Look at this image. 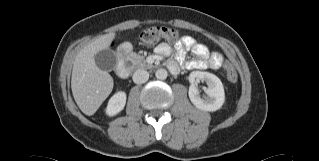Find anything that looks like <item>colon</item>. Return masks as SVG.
<instances>
[{"mask_svg": "<svg viewBox=\"0 0 319 161\" xmlns=\"http://www.w3.org/2000/svg\"><path fill=\"white\" fill-rule=\"evenodd\" d=\"M141 39L147 44H156L160 41H169L172 43H179L180 33L176 29L163 27V26H152L145 29L141 33ZM218 64L213 63L211 68H218ZM226 74L230 82L236 83L238 76L232 69L226 68Z\"/></svg>", "mask_w": 319, "mask_h": 161, "instance_id": "5ec220e1", "label": "colon"}]
</instances>
